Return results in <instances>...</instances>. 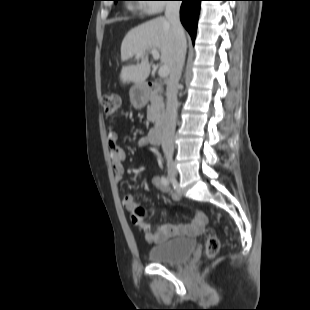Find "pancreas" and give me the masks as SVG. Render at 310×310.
<instances>
[{
    "instance_id": "obj_1",
    "label": "pancreas",
    "mask_w": 310,
    "mask_h": 310,
    "mask_svg": "<svg viewBox=\"0 0 310 310\" xmlns=\"http://www.w3.org/2000/svg\"><path fill=\"white\" fill-rule=\"evenodd\" d=\"M164 116V101L158 95H151L150 105L147 108V120L155 124L159 123Z\"/></svg>"
}]
</instances>
